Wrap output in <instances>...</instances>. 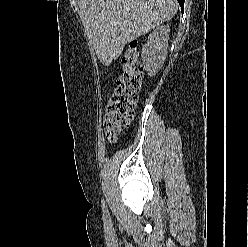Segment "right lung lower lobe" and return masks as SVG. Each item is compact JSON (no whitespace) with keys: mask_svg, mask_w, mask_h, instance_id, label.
Masks as SVG:
<instances>
[{"mask_svg":"<svg viewBox=\"0 0 248 247\" xmlns=\"http://www.w3.org/2000/svg\"><path fill=\"white\" fill-rule=\"evenodd\" d=\"M178 2L180 4L181 8L183 9V7H184V0H178Z\"/></svg>","mask_w":248,"mask_h":247,"instance_id":"right-lung-lower-lobe-1","label":"right lung lower lobe"}]
</instances>
